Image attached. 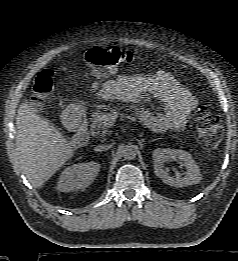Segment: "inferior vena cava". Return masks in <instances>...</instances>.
Masks as SVG:
<instances>
[{"instance_id": "inferior-vena-cava-1", "label": "inferior vena cava", "mask_w": 238, "mask_h": 261, "mask_svg": "<svg viewBox=\"0 0 238 261\" xmlns=\"http://www.w3.org/2000/svg\"><path fill=\"white\" fill-rule=\"evenodd\" d=\"M110 148V146L107 145H99L97 147H95V151L99 152V151H105L108 150Z\"/></svg>"}]
</instances>
